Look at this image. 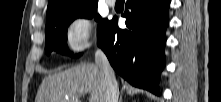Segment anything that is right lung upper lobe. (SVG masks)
I'll list each match as a JSON object with an SVG mask.
<instances>
[{
	"mask_svg": "<svg viewBox=\"0 0 221 102\" xmlns=\"http://www.w3.org/2000/svg\"><path fill=\"white\" fill-rule=\"evenodd\" d=\"M98 0H49L47 7V20L57 12L71 7H80Z\"/></svg>",
	"mask_w": 221,
	"mask_h": 102,
	"instance_id": "obj_1",
	"label": "right lung upper lobe"
}]
</instances>
